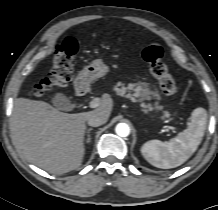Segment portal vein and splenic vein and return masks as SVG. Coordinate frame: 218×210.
<instances>
[{"label": "portal vein and splenic vein", "mask_w": 218, "mask_h": 210, "mask_svg": "<svg viewBox=\"0 0 218 210\" xmlns=\"http://www.w3.org/2000/svg\"><path fill=\"white\" fill-rule=\"evenodd\" d=\"M100 104H101V99L100 98H94L90 102L89 106H90V108H97ZM169 129L175 130V127L167 126V130H169Z\"/></svg>", "instance_id": "obj_1"}]
</instances>
